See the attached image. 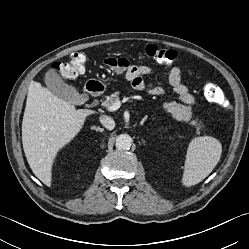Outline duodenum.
I'll return each mask as SVG.
<instances>
[{
	"label": "duodenum",
	"instance_id": "410a0bca",
	"mask_svg": "<svg viewBox=\"0 0 249 249\" xmlns=\"http://www.w3.org/2000/svg\"><path fill=\"white\" fill-rule=\"evenodd\" d=\"M84 92L91 97H98L102 93V86L98 82H88Z\"/></svg>",
	"mask_w": 249,
	"mask_h": 249
}]
</instances>
